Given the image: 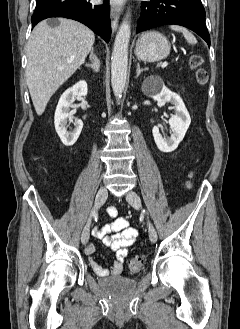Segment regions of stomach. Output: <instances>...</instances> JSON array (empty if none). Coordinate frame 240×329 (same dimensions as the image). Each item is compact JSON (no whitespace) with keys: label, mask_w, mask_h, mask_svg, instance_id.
<instances>
[{"label":"stomach","mask_w":240,"mask_h":329,"mask_svg":"<svg viewBox=\"0 0 240 329\" xmlns=\"http://www.w3.org/2000/svg\"><path fill=\"white\" fill-rule=\"evenodd\" d=\"M170 43L157 31L142 33L136 43L135 55L145 62H156L166 58L170 53Z\"/></svg>","instance_id":"stomach-1"}]
</instances>
